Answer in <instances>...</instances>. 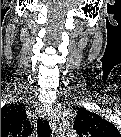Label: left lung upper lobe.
I'll list each match as a JSON object with an SVG mask.
<instances>
[{
  "instance_id": "left-lung-upper-lobe-1",
  "label": "left lung upper lobe",
  "mask_w": 121,
  "mask_h": 137,
  "mask_svg": "<svg viewBox=\"0 0 121 137\" xmlns=\"http://www.w3.org/2000/svg\"><path fill=\"white\" fill-rule=\"evenodd\" d=\"M73 128L80 136L91 135L96 137H117L119 132L117 128L103 119L99 115L86 109H80L77 112Z\"/></svg>"
}]
</instances>
